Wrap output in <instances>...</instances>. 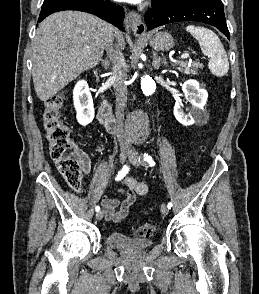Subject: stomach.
<instances>
[{
  "label": "stomach",
  "mask_w": 259,
  "mask_h": 294,
  "mask_svg": "<svg viewBox=\"0 0 259 294\" xmlns=\"http://www.w3.org/2000/svg\"><path fill=\"white\" fill-rule=\"evenodd\" d=\"M144 39H147L150 46L156 51H168L174 46V39L167 32H158Z\"/></svg>",
  "instance_id": "obj_1"
}]
</instances>
